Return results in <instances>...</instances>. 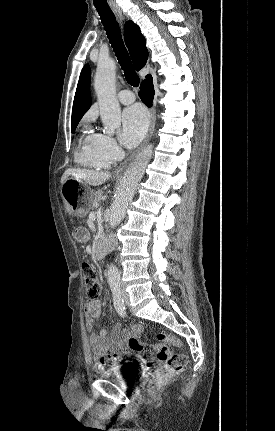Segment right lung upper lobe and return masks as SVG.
Returning <instances> with one entry per match:
<instances>
[{"instance_id": "cb5924a9", "label": "right lung upper lobe", "mask_w": 275, "mask_h": 431, "mask_svg": "<svg viewBox=\"0 0 275 431\" xmlns=\"http://www.w3.org/2000/svg\"><path fill=\"white\" fill-rule=\"evenodd\" d=\"M124 39L130 52L134 67L141 70L147 62L148 50L146 40L139 27L133 21H127L124 26ZM91 106L90 68L85 65L78 81L72 110L71 127L77 126L80 119Z\"/></svg>"}]
</instances>
